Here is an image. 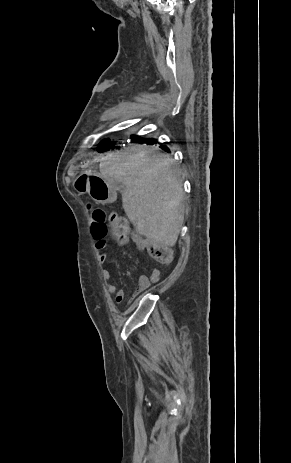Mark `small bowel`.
<instances>
[{
	"mask_svg": "<svg viewBox=\"0 0 291 463\" xmlns=\"http://www.w3.org/2000/svg\"><path fill=\"white\" fill-rule=\"evenodd\" d=\"M129 240L134 242L139 250L144 249L143 238L141 236L137 235V234H133L127 240H118V243L120 245H122V244L127 243ZM117 251H119V249H117ZM100 261L102 263H107L108 262L107 254L102 253L100 255ZM102 275L106 280H109L111 278L110 269L109 268L103 269ZM159 279H160V270L157 269V268L154 269L153 272L150 275H146V274L140 275L139 279H138V285H137L136 291L133 294V297L131 298L130 302H132L136 297H138L143 292H145L151 286V284L158 282ZM107 289H108L109 293L113 296L116 303L121 304L124 301V299H125V291L122 288H118L116 285L109 282L107 284Z\"/></svg>",
	"mask_w": 291,
	"mask_h": 463,
	"instance_id": "1",
	"label": "small bowel"
}]
</instances>
